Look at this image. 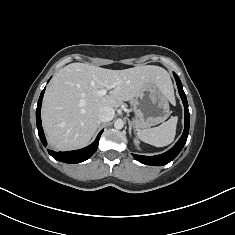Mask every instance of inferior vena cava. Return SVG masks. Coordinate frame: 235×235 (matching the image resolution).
I'll list each match as a JSON object with an SVG mask.
<instances>
[{
    "instance_id": "obj_1",
    "label": "inferior vena cava",
    "mask_w": 235,
    "mask_h": 235,
    "mask_svg": "<svg viewBox=\"0 0 235 235\" xmlns=\"http://www.w3.org/2000/svg\"><path fill=\"white\" fill-rule=\"evenodd\" d=\"M114 115H115L114 109L112 107L106 106V107H102L99 110L98 117L101 122H108L114 118Z\"/></svg>"
}]
</instances>
